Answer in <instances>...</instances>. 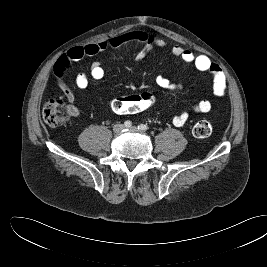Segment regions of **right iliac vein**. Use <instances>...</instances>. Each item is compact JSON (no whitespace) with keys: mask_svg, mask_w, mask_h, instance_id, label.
Returning <instances> with one entry per match:
<instances>
[{"mask_svg":"<svg viewBox=\"0 0 267 267\" xmlns=\"http://www.w3.org/2000/svg\"><path fill=\"white\" fill-rule=\"evenodd\" d=\"M124 129V125L120 124V123H117L113 126V131L115 133H119L121 132L122 130Z\"/></svg>","mask_w":267,"mask_h":267,"instance_id":"right-iliac-vein-1","label":"right iliac vein"}]
</instances>
